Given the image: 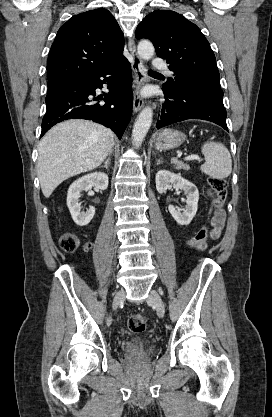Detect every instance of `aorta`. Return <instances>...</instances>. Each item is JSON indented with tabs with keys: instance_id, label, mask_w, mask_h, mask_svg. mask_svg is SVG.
I'll return each instance as SVG.
<instances>
[{
	"instance_id": "aorta-1",
	"label": "aorta",
	"mask_w": 272,
	"mask_h": 417,
	"mask_svg": "<svg viewBox=\"0 0 272 417\" xmlns=\"http://www.w3.org/2000/svg\"><path fill=\"white\" fill-rule=\"evenodd\" d=\"M138 54L142 59L148 60L154 55V46L150 41L142 40L138 44ZM153 110L150 107L144 108L139 114L132 130L133 142L136 147H139L152 123Z\"/></svg>"
}]
</instances>
